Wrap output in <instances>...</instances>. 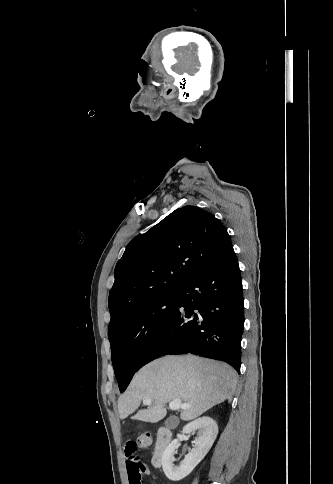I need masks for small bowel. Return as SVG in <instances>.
Listing matches in <instances>:
<instances>
[{
  "label": "small bowel",
  "instance_id": "c3829d8e",
  "mask_svg": "<svg viewBox=\"0 0 333 484\" xmlns=\"http://www.w3.org/2000/svg\"><path fill=\"white\" fill-rule=\"evenodd\" d=\"M126 452V466L129 484H142L141 476L149 474L150 470L144 463L143 459L136 453V445L132 441H128L125 447Z\"/></svg>",
  "mask_w": 333,
  "mask_h": 484
}]
</instances>
